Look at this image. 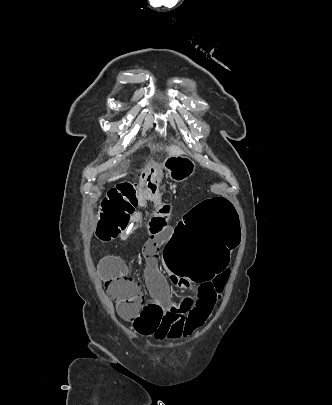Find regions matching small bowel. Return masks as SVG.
Segmentation results:
<instances>
[{
	"label": "small bowel",
	"mask_w": 332,
	"mask_h": 405,
	"mask_svg": "<svg viewBox=\"0 0 332 405\" xmlns=\"http://www.w3.org/2000/svg\"><path fill=\"white\" fill-rule=\"evenodd\" d=\"M106 173L111 177L115 172L110 168ZM106 173H94V180L99 186L110 184ZM163 176L164 171L160 164H145L139 176L140 183L136 194L139 199V211L130 228L120 236L122 240H126L130 236V229L145 218L147 205L153 203L154 214L148 224L149 237L143 247L147 260L145 277L150 296L148 301H142V311H137L133 328L140 336L152 337L158 341L176 340L190 335L206 321L215 305L212 280L204 281L194 294L180 302H174L171 298L170 283L158 269L159 248L171 240L173 234L169 222L172 207L159 197L158 183ZM127 269L126 262L114 254L104 256L98 264L99 274L106 280L121 277ZM172 282L175 287L184 291L190 287V281H183L182 275H174Z\"/></svg>",
	"instance_id": "obj_1"
}]
</instances>
